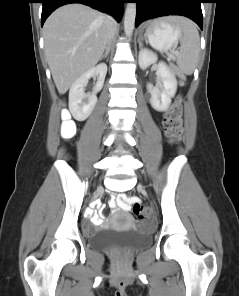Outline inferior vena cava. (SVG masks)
Wrapping results in <instances>:
<instances>
[{"mask_svg":"<svg viewBox=\"0 0 239 296\" xmlns=\"http://www.w3.org/2000/svg\"><path fill=\"white\" fill-rule=\"evenodd\" d=\"M107 19H108V31H107V43L106 44L109 47L110 46V43H111V41L113 39V36L115 34V31H116V22L110 16H107Z\"/></svg>","mask_w":239,"mask_h":296,"instance_id":"inferior-vena-cava-1","label":"inferior vena cava"}]
</instances>
